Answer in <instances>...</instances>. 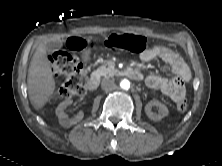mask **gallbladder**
Listing matches in <instances>:
<instances>
[{
  "mask_svg": "<svg viewBox=\"0 0 222 166\" xmlns=\"http://www.w3.org/2000/svg\"><path fill=\"white\" fill-rule=\"evenodd\" d=\"M62 45H63V41L61 39H58V40L50 41L47 44V48L51 51H55V50L61 48Z\"/></svg>",
  "mask_w": 222,
  "mask_h": 166,
  "instance_id": "gallbladder-1",
  "label": "gallbladder"
}]
</instances>
